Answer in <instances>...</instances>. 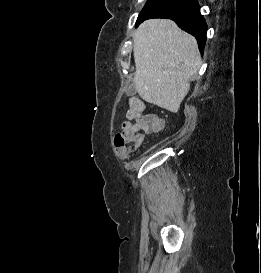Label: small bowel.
I'll return each instance as SVG.
<instances>
[{"label":"small bowel","instance_id":"small-bowel-1","mask_svg":"<svg viewBox=\"0 0 261 273\" xmlns=\"http://www.w3.org/2000/svg\"><path fill=\"white\" fill-rule=\"evenodd\" d=\"M126 118L128 120L123 123V130H142L145 133L150 134L160 131L164 126V119L161 116L153 113H145L143 115L136 116L131 108L127 110ZM131 120H135L136 122L133 124L131 123Z\"/></svg>","mask_w":261,"mask_h":273}]
</instances>
